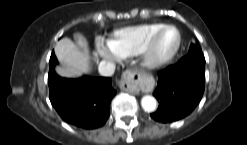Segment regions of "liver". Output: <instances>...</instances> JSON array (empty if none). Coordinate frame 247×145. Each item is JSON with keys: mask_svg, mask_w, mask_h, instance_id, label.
<instances>
[{"mask_svg": "<svg viewBox=\"0 0 247 145\" xmlns=\"http://www.w3.org/2000/svg\"><path fill=\"white\" fill-rule=\"evenodd\" d=\"M77 45L69 38L57 42L54 51L60 66H56L58 75L66 78L77 79L87 75L91 70L90 56L86 39L76 34Z\"/></svg>", "mask_w": 247, "mask_h": 145, "instance_id": "6515ba94", "label": "liver"}]
</instances>
